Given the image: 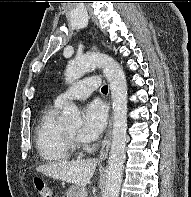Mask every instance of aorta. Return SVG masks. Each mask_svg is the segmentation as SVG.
<instances>
[{
  "instance_id": "1",
  "label": "aorta",
  "mask_w": 191,
  "mask_h": 197,
  "mask_svg": "<svg viewBox=\"0 0 191 197\" xmlns=\"http://www.w3.org/2000/svg\"><path fill=\"white\" fill-rule=\"evenodd\" d=\"M102 68L112 95L113 130L109 154L107 179L103 197H119L127 140V84L123 69L112 57L100 54H86L70 61L65 70L67 83H74L93 68ZM60 123L68 127L82 125L80 111L73 103L64 106Z\"/></svg>"
}]
</instances>
